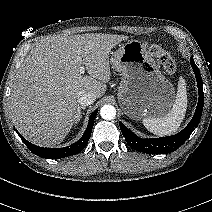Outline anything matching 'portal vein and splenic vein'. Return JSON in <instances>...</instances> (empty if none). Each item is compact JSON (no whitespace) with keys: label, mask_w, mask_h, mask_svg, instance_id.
Returning <instances> with one entry per match:
<instances>
[{"label":"portal vein and splenic vein","mask_w":212,"mask_h":212,"mask_svg":"<svg viewBox=\"0 0 212 212\" xmlns=\"http://www.w3.org/2000/svg\"><path fill=\"white\" fill-rule=\"evenodd\" d=\"M77 59H78V61L82 62V58L81 57H78ZM84 72H85V67L81 66L80 73L83 74Z\"/></svg>","instance_id":"obj_1"}]
</instances>
